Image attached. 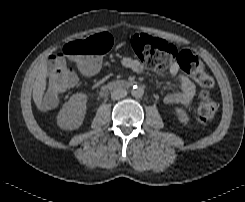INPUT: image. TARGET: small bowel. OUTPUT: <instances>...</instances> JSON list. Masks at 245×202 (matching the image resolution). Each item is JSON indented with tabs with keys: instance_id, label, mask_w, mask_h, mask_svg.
Instances as JSON below:
<instances>
[{
	"instance_id": "obj_1",
	"label": "small bowel",
	"mask_w": 245,
	"mask_h": 202,
	"mask_svg": "<svg viewBox=\"0 0 245 202\" xmlns=\"http://www.w3.org/2000/svg\"><path fill=\"white\" fill-rule=\"evenodd\" d=\"M120 64L123 68L130 70L136 74H142L144 72L143 65L132 57H123L120 59ZM99 71V66L96 63H90L89 72L95 74ZM169 77L175 79L178 82L179 89L177 91L168 93L164 97V102L168 105H188L196 92V86L191 78L185 73L178 63L171 64L169 71ZM55 105L52 97L43 99L40 104V109L43 112L50 111Z\"/></svg>"
}]
</instances>
